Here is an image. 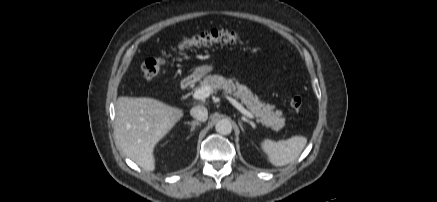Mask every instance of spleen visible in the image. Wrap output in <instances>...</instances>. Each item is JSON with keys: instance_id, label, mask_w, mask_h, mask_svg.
I'll return each instance as SVG.
<instances>
[{"instance_id": "1", "label": "spleen", "mask_w": 437, "mask_h": 202, "mask_svg": "<svg viewBox=\"0 0 437 202\" xmlns=\"http://www.w3.org/2000/svg\"><path fill=\"white\" fill-rule=\"evenodd\" d=\"M306 144V137L293 136L282 141L264 139L261 142V148L267 155L271 164L274 166H285L297 159Z\"/></svg>"}]
</instances>
